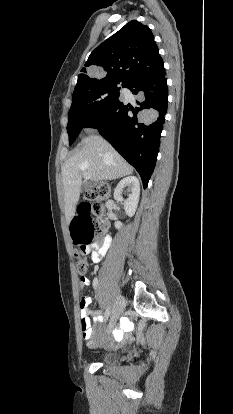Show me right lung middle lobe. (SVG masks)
I'll return each instance as SVG.
<instances>
[{
    "label": "right lung middle lobe",
    "mask_w": 233,
    "mask_h": 414,
    "mask_svg": "<svg viewBox=\"0 0 233 414\" xmlns=\"http://www.w3.org/2000/svg\"><path fill=\"white\" fill-rule=\"evenodd\" d=\"M127 84L120 81L101 82L73 95L67 125L69 145L75 141L90 120L119 100L120 86L126 87Z\"/></svg>",
    "instance_id": "obj_1"
}]
</instances>
